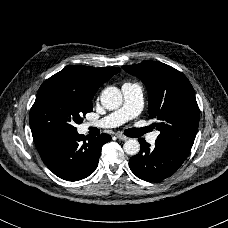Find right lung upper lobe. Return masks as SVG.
<instances>
[{"mask_svg": "<svg viewBox=\"0 0 228 228\" xmlns=\"http://www.w3.org/2000/svg\"><path fill=\"white\" fill-rule=\"evenodd\" d=\"M119 71L120 68L117 67L94 68L76 65L64 68L51 78L70 84L91 101L98 88Z\"/></svg>", "mask_w": 228, "mask_h": 228, "instance_id": "obj_1", "label": "right lung upper lobe"}]
</instances>
